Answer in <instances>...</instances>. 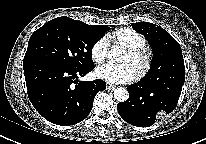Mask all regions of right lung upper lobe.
Returning <instances> with one entry per match:
<instances>
[{"mask_svg":"<svg viewBox=\"0 0 206 144\" xmlns=\"http://www.w3.org/2000/svg\"><path fill=\"white\" fill-rule=\"evenodd\" d=\"M90 26H92L93 28L99 29V30H105V29L109 28V27L100 26V25H90Z\"/></svg>","mask_w":206,"mask_h":144,"instance_id":"1","label":"right lung upper lobe"}]
</instances>
